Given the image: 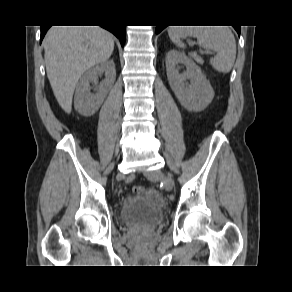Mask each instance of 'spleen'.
I'll use <instances>...</instances> for the list:
<instances>
[{"label":"spleen","instance_id":"3e777b00","mask_svg":"<svg viewBox=\"0 0 292 292\" xmlns=\"http://www.w3.org/2000/svg\"><path fill=\"white\" fill-rule=\"evenodd\" d=\"M171 41L179 48H185L181 39L186 36L197 38L199 45L216 52L210 59L212 67L221 73H228L236 59V41L231 30L222 27H176L168 29Z\"/></svg>","mask_w":292,"mask_h":292}]
</instances>
